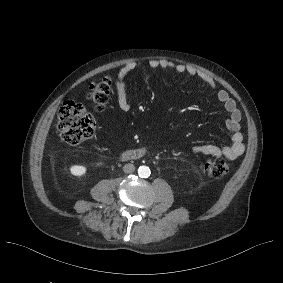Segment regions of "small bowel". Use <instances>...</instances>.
<instances>
[{
	"label": "small bowel",
	"instance_id": "small-bowel-1",
	"mask_svg": "<svg viewBox=\"0 0 283 283\" xmlns=\"http://www.w3.org/2000/svg\"><path fill=\"white\" fill-rule=\"evenodd\" d=\"M148 66L151 69L162 68L166 70H173L179 74H187L189 76L199 77L210 89H215L214 80L207 74L196 70L194 67L185 66L183 64H176L166 59H151L148 61ZM137 69V63L131 62L122 67L116 77L115 93L119 108L122 111H129L131 103L128 97L127 78ZM217 100L222 104L228 118L226 120L227 128L232 132L231 144L224 146L216 145H198L192 147L191 151L195 154H204L213 157H225L234 160L241 156L244 152L243 135L241 132V112L234 101V99L225 90H218L216 92Z\"/></svg>",
	"mask_w": 283,
	"mask_h": 283
}]
</instances>
